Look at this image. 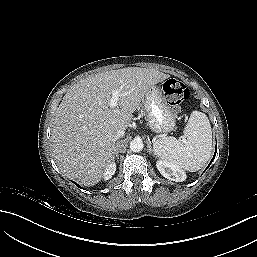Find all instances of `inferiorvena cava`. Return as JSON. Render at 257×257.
<instances>
[{"label":"inferior vena cava","mask_w":257,"mask_h":257,"mask_svg":"<svg viewBox=\"0 0 257 257\" xmlns=\"http://www.w3.org/2000/svg\"><path fill=\"white\" fill-rule=\"evenodd\" d=\"M124 134H125V131H124V130H121V129H120V130H117V131L113 134L111 140L115 143L118 139H120L121 137H123Z\"/></svg>","instance_id":"obj_1"}]
</instances>
